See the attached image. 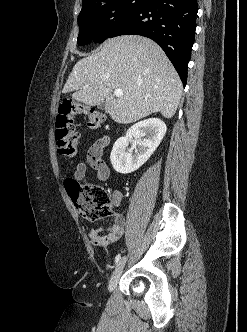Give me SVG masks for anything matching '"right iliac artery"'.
<instances>
[{
  "instance_id": "obj_1",
  "label": "right iliac artery",
  "mask_w": 247,
  "mask_h": 332,
  "mask_svg": "<svg viewBox=\"0 0 247 332\" xmlns=\"http://www.w3.org/2000/svg\"><path fill=\"white\" fill-rule=\"evenodd\" d=\"M120 258H121L120 254L116 255V257H115V262L118 263L119 260H120Z\"/></svg>"
}]
</instances>
